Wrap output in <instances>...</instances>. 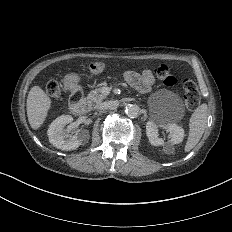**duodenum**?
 <instances>
[{"label":"duodenum","instance_id":"duodenum-1","mask_svg":"<svg viewBox=\"0 0 232 232\" xmlns=\"http://www.w3.org/2000/svg\"><path fill=\"white\" fill-rule=\"evenodd\" d=\"M66 87L70 92V111L74 115H81L84 112L82 88L73 81L67 82Z\"/></svg>","mask_w":232,"mask_h":232}]
</instances>
